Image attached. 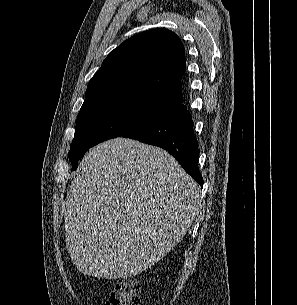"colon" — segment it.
<instances>
[{
    "mask_svg": "<svg viewBox=\"0 0 297 305\" xmlns=\"http://www.w3.org/2000/svg\"><path fill=\"white\" fill-rule=\"evenodd\" d=\"M106 305H141L138 283L129 278L121 279L111 292Z\"/></svg>",
    "mask_w": 297,
    "mask_h": 305,
    "instance_id": "5ec220e1",
    "label": "colon"
}]
</instances>
